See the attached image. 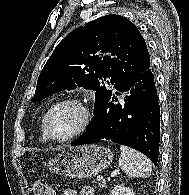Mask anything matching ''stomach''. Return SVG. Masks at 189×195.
<instances>
[{
    "label": "stomach",
    "mask_w": 189,
    "mask_h": 195,
    "mask_svg": "<svg viewBox=\"0 0 189 195\" xmlns=\"http://www.w3.org/2000/svg\"><path fill=\"white\" fill-rule=\"evenodd\" d=\"M113 160L112 151L100 145L64 149L47 162L48 169L71 178L84 179L104 170Z\"/></svg>",
    "instance_id": "1"
}]
</instances>
